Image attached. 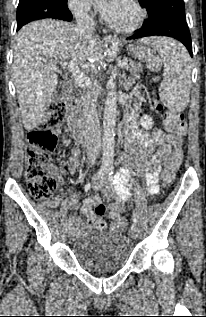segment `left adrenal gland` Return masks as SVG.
I'll use <instances>...</instances> for the list:
<instances>
[{
	"instance_id": "1",
	"label": "left adrenal gland",
	"mask_w": 206,
	"mask_h": 317,
	"mask_svg": "<svg viewBox=\"0 0 206 317\" xmlns=\"http://www.w3.org/2000/svg\"><path fill=\"white\" fill-rule=\"evenodd\" d=\"M122 77H123V85H124V88H125L126 90H129L130 87L132 86V83H134V80L131 81V78H128V79H127V77H126V75H125L124 73H123Z\"/></svg>"
}]
</instances>
